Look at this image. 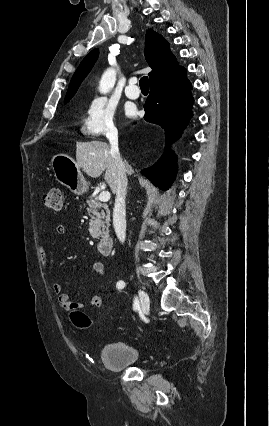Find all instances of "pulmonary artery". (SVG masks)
I'll list each match as a JSON object with an SVG mask.
<instances>
[{
    "label": "pulmonary artery",
    "instance_id": "1",
    "mask_svg": "<svg viewBox=\"0 0 269 426\" xmlns=\"http://www.w3.org/2000/svg\"><path fill=\"white\" fill-rule=\"evenodd\" d=\"M137 79L131 78L128 81V85L125 88V94L130 99H137L140 96V90L136 85Z\"/></svg>",
    "mask_w": 269,
    "mask_h": 426
}]
</instances>
